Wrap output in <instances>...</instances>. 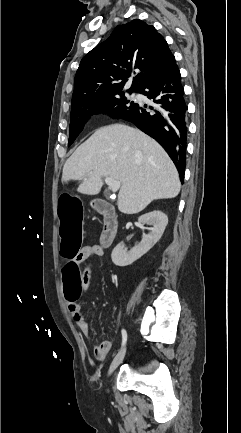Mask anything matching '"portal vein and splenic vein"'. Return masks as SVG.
Masks as SVG:
<instances>
[{
	"label": "portal vein and splenic vein",
	"instance_id": "obj_1",
	"mask_svg": "<svg viewBox=\"0 0 241 433\" xmlns=\"http://www.w3.org/2000/svg\"><path fill=\"white\" fill-rule=\"evenodd\" d=\"M105 183L108 185V187L111 189L112 192H116L119 190L120 186H121V182L111 179L109 177H106L104 179Z\"/></svg>",
	"mask_w": 241,
	"mask_h": 433
}]
</instances>
